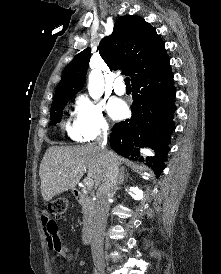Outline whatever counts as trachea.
I'll return each mask as SVG.
<instances>
[{
  "mask_svg": "<svg viewBox=\"0 0 221 274\" xmlns=\"http://www.w3.org/2000/svg\"><path fill=\"white\" fill-rule=\"evenodd\" d=\"M125 85L126 86H130V79H129V77L125 78Z\"/></svg>",
  "mask_w": 221,
  "mask_h": 274,
  "instance_id": "1",
  "label": "trachea"
}]
</instances>
